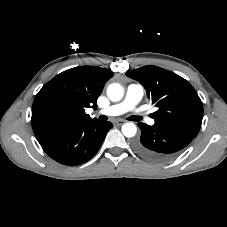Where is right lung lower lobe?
<instances>
[{"instance_id":"right-lung-lower-lobe-1","label":"right lung lower lobe","mask_w":227,"mask_h":227,"mask_svg":"<svg viewBox=\"0 0 227 227\" xmlns=\"http://www.w3.org/2000/svg\"><path fill=\"white\" fill-rule=\"evenodd\" d=\"M111 128L110 122L82 124L60 131L40 145L55 161L75 166L87 162L98 152Z\"/></svg>"}]
</instances>
